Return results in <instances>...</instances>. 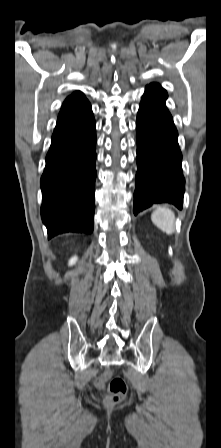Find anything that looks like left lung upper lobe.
Listing matches in <instances>:
<instances>
[{
  "instance_id": "1",
  "label": "left lung upper lobe",
  "mask_w": 221,
  "mask_h": 448,
  "mask_svg": "<svg viewBox=\"0 0 221 448\" xmlns=\"http://www.w3.org/2000/svg\"><path fill=\"white\" fill-rule=\"evenodd\" d=\"M148 87L157 89V90L162 91V92H166V91H165L159 84H157V83H151Z\"/></svg>"
}]
</instances>
